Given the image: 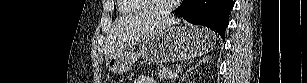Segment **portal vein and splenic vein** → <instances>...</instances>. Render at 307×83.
<instances>
[{
    "label": "portal vein and splenic vein",
    "mask_w": 307,
    "mask_h": 83,
    "mask_svg": "<svg viewBox=\"0 0 307 83\" xmlns=\"http://www.w3.org/2000/svg\"><path fill=\"white\" fill-rule=\"evenodd\" d=\"M178 77V74L177 73H172L170 74V79H176Z\"/></svg>",
    "instance_id": "portal-vein-and-splenic-vein-1"
}]
</instances>
